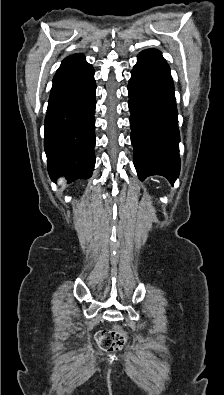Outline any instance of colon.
Returning <instances> with one entry per match:
<instances>
[{
  "label": "colon",
  "instance_id": "obj_1",
  "mask_svg": "<svg viewBox=\"0 0 224 395\" xmlns=\"http://www.w3.org/2000/svg\"><path fill=\"white\" fill-rule=\"evenodd\" d=\"M95 339L102 350L116 351L126 344L127 335L123 330L115 328L97 332Z\"/></svg>",
  "mask_w": 224,
  "mask_h": 395
}]
</instances>
